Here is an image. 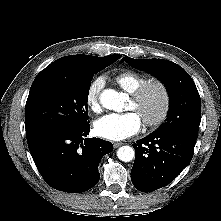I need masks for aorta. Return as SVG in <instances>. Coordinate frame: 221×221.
Listing matches in <instances>:
<instances>
[{
  "label": "aorta",
  "instance_id": "1",
  "mask_svg": "<svg viewBox=\"0 0 221 221\" xmlns=\"http://www.w3.org/2000/svg\"><path fill=\"white\" fill-rule=\"evenodd\" d=\"M126 95L113 89L104 90L100 96V102L106 109L120 112L123 109ZM119 160L130 162L135 156V151L130 146H122L117 150Z\"/></svg>",
  "mask_w": 221,
  "mask_h": 221
}]
</instances>
